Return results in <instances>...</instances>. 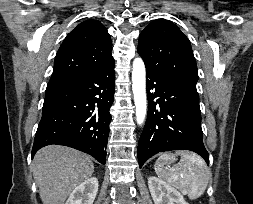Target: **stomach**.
<instances>
[{
	"label": "stomach",
	"mask_w": 253,
	"mask_h": 204,
	"mask_svg": "<svg viewBox=\"0 0 253 204\" xmlns=\"http://www.w3.org/2000/svg\"><path fill=\"white\" fill-rule=\"evenodd\" d=\"M174 160H175V158H172V159L170 160V163H172Z\"/></svg>",
	"instance_id": "stomach-1"
}]
</instances>
